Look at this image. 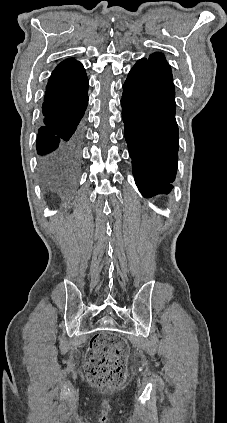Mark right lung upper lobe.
<instances>
[{
  "label": "right lung upper lobe",
  "mask_w": 227,
  "mask_h": 423,
  "mask_svg": "<svg viewBox=\"0 0 227 423\" xmlns=\"http://www.w3.org/2000/svg\"><path fill=\"white\" fill-rule=\"evenodd\" d=\"M88 91V79L80 62L70 58L61 62L49 78L46 96L66 98Z\"/></svg>",
  "instance_id": "cb5924a9"
}]
</instances>
